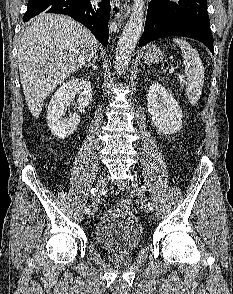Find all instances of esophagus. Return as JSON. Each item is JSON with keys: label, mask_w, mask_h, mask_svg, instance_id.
Segmentation results:
<instances>
[{"label": "esophagus", "mask_w": 233, "mask_h": 294, "mask_svg": "<svg viewBox=\"0 0 233 294\" xmlns=\"http://www.w3.org/2000/svg\"><path fill=\"white\" fill-rule=\"evenodd\" d=\"M129 8L127 4H121L119 0L111 1V14L114 17V22L110 26L111 31L116 32L120 22L126 17V11Z\"/></svg>", "instance_id": "esophagus-1"}]
</instances>
